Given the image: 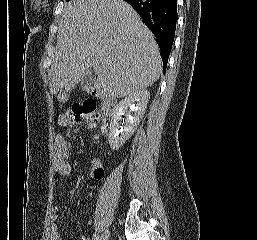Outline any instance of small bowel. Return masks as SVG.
I'll return each instance as SVG.
<instances>
[{
    "instance_id": "c3829d8e",
    "label": "small bowel",
    "mask_w": 257,
    "mask_h": 240,
    "mask_svg": "<svg viewBox=\"0 0 257 240\" xmlns=\"http://www.w3.org/2000/svg\"><path fill=\"white\" fill-rule=\"evenodd\" d=\"M91 176L96 180H99L103 176V170L100 162L94 159L90 163ZM71 165L69 163V148L66 139L57 135L54 138V172L59 176H68L71 173ZM59 207L53 205L51 208V226L49 231V240H62L61 232L59 230L58 221ZM80 240H87L84 236L80 237Z\"/></svg>"
}]
</instances>
